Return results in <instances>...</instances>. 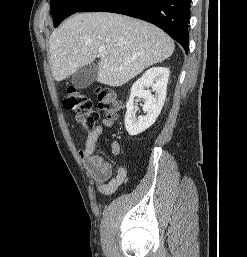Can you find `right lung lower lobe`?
<instances>
[{
    "instance_id": "right-lung-lower-lobe-1",
    "label": "right lung lower lobe",
    "mask_w": 247,
    "mask_h": 257,
    "mask_svg": "<svg viewBox=\"0 0 247 257\" xmlns=\"http://www.w3.org/2000/svg\"><path fill=\"white\" fill-rule=\"evenodd\" d=\"M78 12H113L150 22L188 52L190 0H91Z\"/></svg>"
}]
</instances>
